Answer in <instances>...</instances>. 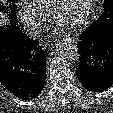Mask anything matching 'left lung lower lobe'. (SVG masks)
I'll return each instance as SVG.
<instances>
[{
    "label": "left lung lower lobe",
    "instance_id": "0a47b994",
    "mask_svg": "<svg viewBox=\"0 0 113 113\" xmlns=\"http://www.w3.org/2000/svg\"><path fill=\"white\" fill-rule=\"evenodd\" d=\"M79 39V82L92 92L108 89L113 85V20L91 24Z\"/></svg>",
    "mask_w": 113,
    "mask_h": 113
}]
</instances>
